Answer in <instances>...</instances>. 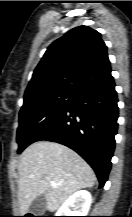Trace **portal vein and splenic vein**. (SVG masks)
<instances>
[{
  "label": "portal vein and splenic vein",
  "mask_w": 132,
  "mask_h": 217,
  "mask_svg": "<svg viewBox=\"0 0 132 217\" xmlns=\"http://www.w3.org/2000/svg\"><path fill=\"white\" fill-rule=\"evenodd\" d=\"M51 185L54 186V187L57 186V184L54 181H51Z\"/></svg>",
  "instance_id": "portal-vein-and-splenic-vein-1"
}]
</instances>
